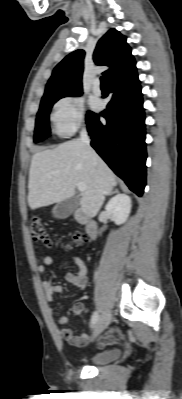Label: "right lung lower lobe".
<instances>
[{
	"label": "right lung lower lobe",
	"instance_id": "98d812e1",
	"mask_svg": "<svg viewBox=\"0 0 182 399\" xmlns=\"http://www.w3.org/2000/svg\"><path fill=\"white\" fill-rule=\"evenodd\" d=\"M112 99L99 115L86 118L91 146L131 191L142 196L146 185L145 116L136 72L111 83Z\"/></svg>",
	"mask_w": 182,
	"mask_h": 399
}]
</instances>
